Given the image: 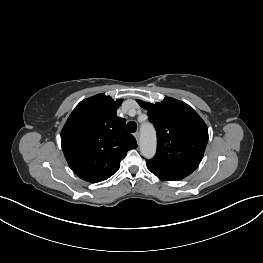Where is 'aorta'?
I'll use <instances>...</instances> for the list:
<instances>
[{
    "mask_svg": "<svg viewBox=\"0 0 263 263\" xmlns=\"http://www.w3.org/2000/svg\"><path fill=\"white\" fill-rule=\"evenodd\" d=\"M140 151L148 159L156 153V132L151 124H144L141 127Z\"/></svg>",
    "mask_w": 263,
    "mask_h": 263,
    "instance_id": "1",
    "label": "aorta"
}]
</instances>
